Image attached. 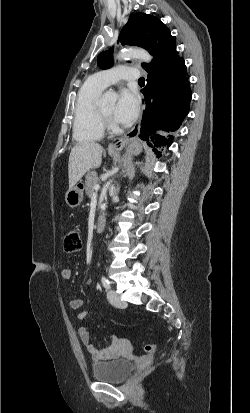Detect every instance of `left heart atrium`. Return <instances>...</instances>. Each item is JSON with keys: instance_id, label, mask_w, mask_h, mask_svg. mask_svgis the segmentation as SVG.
Wrapping results in <instances>:
<instances>
[{"instance_id": "1", "label": "left heart atrium", "mask_w": 250, "mask_h": 413, "mask_svg": "<svg viewBox=\"0 0 250 413\" xmlns=\"http://www.w3.org/2000/svg\"><path fill=\"white\" fill-rule=\"evenodd\" d=\"M138 112L139 99L135 92L126 88L122 89L114 111L116 120L122 124H129L136 119Z\"/></svg>"}]
</instances>
